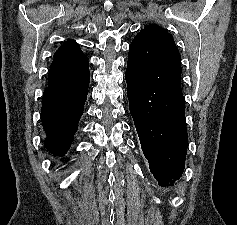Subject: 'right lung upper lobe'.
Segmentation results:
<instances>
[{
	"instance_id": "cb5924a9",
	"label": "right lung upper lobe",
	"mask_w": 237,
	"mask_h": 225,
	"mask_svg": "<svg viewBox=\"0 0 237 225\" xmlns=\"http://www.w3.org/2000/svg\"><path fill=\"white\" fill-rule=\"evenodd\" d=\"M89 79L87 56L75 41L64 42L54 54L47 89L75 88Z\"/></svg>"
}]
</instances>
